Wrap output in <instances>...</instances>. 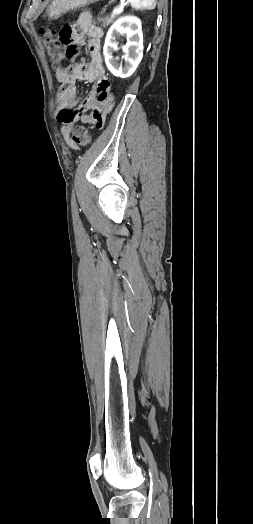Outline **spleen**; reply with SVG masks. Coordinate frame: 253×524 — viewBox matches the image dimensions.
I'll list each match as a JSON object with an SVG mask.
<instances>
[{
    "mask_svg": "<svg viewBox=\"0 0 253 524\" xmlns=\"http://www.w3.org/2000/svg\"><path fill=\"white\" fill-rule=\"evenodd\" d=\"M130 4L136 10H153L156 0H130Z\"/></svg>",
    "mask_w": 253,
    "mask_h": 524,
    "instance_id": "obj_1",
    "label": "spleen"
}]
</instances>
